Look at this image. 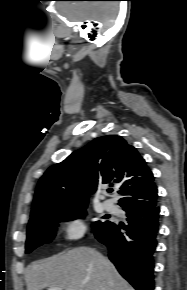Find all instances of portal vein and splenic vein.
Wrapping results in <instances>:
<instances>
[{
	"instance_id": "obj_1",
	"label": "portal vein and splenic vein",
	"mask_w": 187,
	"mask_h": 290,
	"mask_svg": "<svg viewBox=\"0 0 187 290\" xmlns=\"http://www.w3.org/2000/svg\"><path fill=\"white\" fill-rule=\"evenodd\" d=\"M48 290H62L61 287H50Z\"/></svg>"
}]
</instances>
